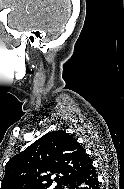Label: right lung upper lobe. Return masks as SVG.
Masks as SVG:
<instances>
[{"mask_svg": "<svg viewBox=\"0 0 124 189\" xmlns=\"http://www.w3.org/2000/svg\"><path fill=\"white\" fill-rule=\"evenodd\" d=\"M90 163L74 137L62 130L49 132L7 162L1 189H38L52 184L53 176L61 185Z\"/></svg>", "mask_w": 124, "mask_h": 189, "instance_id": "1", "label": "right lung upper lobe"}]
</instances>
